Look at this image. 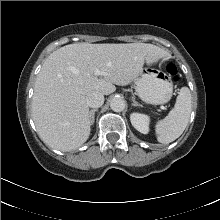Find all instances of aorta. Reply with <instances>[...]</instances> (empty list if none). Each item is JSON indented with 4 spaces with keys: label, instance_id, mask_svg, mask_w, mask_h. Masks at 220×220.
Returning <instances> with one entry per match:
<instances>
[{
    "label": "aorta",
    "instance_id": "aorta-1",
    "mask_svg": "<svg viewBox=\"0 0 220 220\" xmlns=\"http://www.w3.org/2000/svg\"><path fill=\"white\" fill-rule=\"evenodd\" d=\"M125 101L121 97H114L110 101V107L114 112H121L125 109Z\"/></svg>",
    "mask_w": 220,
    "mask_h": 220
}]
</instances>
